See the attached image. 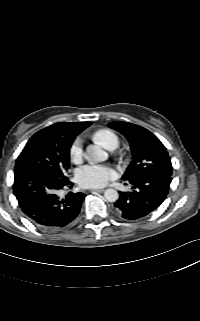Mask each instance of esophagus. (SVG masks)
I'll list each match as a JSON object with an SVG mask.
<instances>
[{"label": "esophagus", "mask_w": 200, "mask_h": 321, "mask_svg": "<svg viewBox=\"0 0 200 321\" xmlns=\"http://www.w3.org/2000/svg\"><path fill=\"white\" fill-rule=\"evenodd\" d=\"M103 191V189H94L92 190V193H102Z\"/></svg>", "instance_id": "esophagus-1"}]
</instances>
